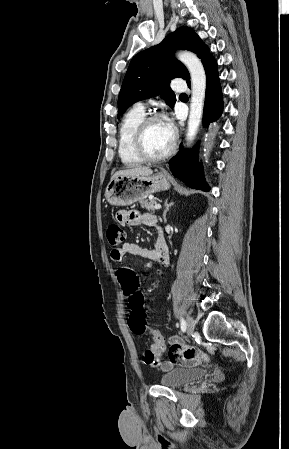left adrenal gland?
<instances>
[{"label": "left adrenal gland", "instance_id": "left-adrenal-gland-1", "mask_svg": "<svg viewBox=\"0 0 289 449\" xmlns=\"http://www.w3.org/2000/svg\"><path fill=\"white\" fill-rule=\"evenodd\" d=\"M174 203H170V204H168V199L165 201V210H164V213H163V219H164V222L166 223V213L168 212V210H169V208L173 205Z\"/></svg>", "mask_w": 289, "mask_h": 449}]
</instances>
